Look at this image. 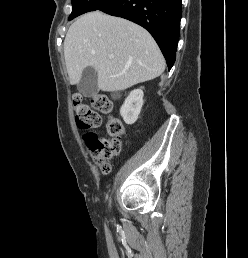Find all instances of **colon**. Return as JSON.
Instances as JSON below:
<instances>
[{"mask_svg":"<svg viewBox=\"0 0 248 258\" xmlns=\"http://www.w3.org/2000/svg\"><path fill=\"white\" fill-rule=\"evenodd\" d=\"M73 109L76 113V122L83 129L97 128L101 124L99 113L108 115L107 132L109 138L98 137L95 133H87L85 142L92 157L99 163L104 173L110 171L109 159L120 154L122 140L125 137V128L117 118L112 116L113 103L107 97L95 94L91 98L92 108L86 104L81 95L75 94L72 98Z\"/></svg>","mask_w":248,"mask_h":258,"instance_id":"colon-1","label":"colon"}]
</instances>
